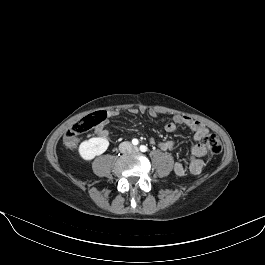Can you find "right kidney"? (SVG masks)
Masks as SVG:
<instances>
[{
	"label": "right kidney",
	"instance_id": "1",
	"mask_svg": "<svg viewBox=\"0 0 265 265\" xmlns=\"http://www.w3.org/2000/svg\"><path fill=\"white\" fill-rule=\"evenodd\" d=\"M109 146V141L103 137H94L83 141L78 148L79 155L84 160H92L95 156L103 154Z\"/></svg>",
	"mask_w": 265,
	"mask_h": 265
}]
</instances>
